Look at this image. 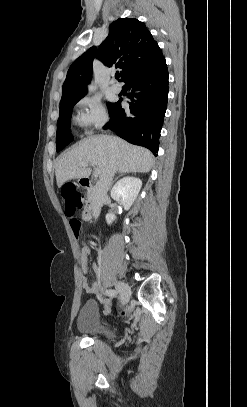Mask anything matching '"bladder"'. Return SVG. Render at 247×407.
<instances>
[{
  "label": "bladder",
  "instance_id": "bladder-1",
  "mask_svg": "<svg viewBox=\"0 0 247 407\" xmlns=\"http://www.w3.org/2000/svg\"><path fill=\"white\" fill-rule=\"evenodd\" d=\"M99 307L94 301H87L81 308L77 328L78 331L89 337L100 338L101 340H110L114 337V330L106 325L98 322Z\"/></svg>",
  "mask_w": 247,
  "mask_h": 407
}]
</instances>
